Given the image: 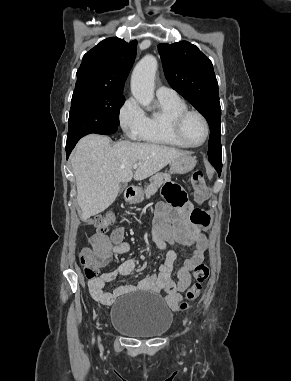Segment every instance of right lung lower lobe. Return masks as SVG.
Masks as SVG:
<instances>
[{
	"mask_svg": "<svg viewBox=\"0 0 291 381\" xmlns=\"http://www.w3.org/2000/svg\"><path fill=\"white\" fill-rule=\"evenodd\" d=\"M116 131H117V129H115V130H111V131H107V132H104L103 134H112V133H114V132H116ZM77 142H78V141L67 142V144H66V155H67V158L69 157V155H70L72 149L75 147V145H76Z\"/></svg>",
	"mask_w": 291,
	"mask_h": 381,
	"instance_id": "obj_1",
	"label": "right lung lower lobe"
}]
</instances>
